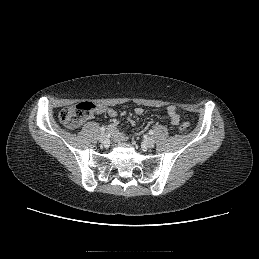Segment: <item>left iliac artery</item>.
<instances>
[{
	"instance_id": "44dca946",
	"label": "left iliac artery",
	"mask_w": 259,
	"mask_h": 259,
	"mask_svg": "<svg viewBox=\"0 0 259 259\" xmlns=\"http://www.w3.org/2000/svg\"><path fill=\"white\" fill-rule=\"evenodd\" d=\"M149 134H150V135H153V134H154V131H153V130H150V131H149Z\"/></svg>"
}]
</instances>
